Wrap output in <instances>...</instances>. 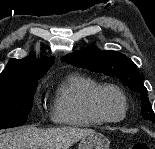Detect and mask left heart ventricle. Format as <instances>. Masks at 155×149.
I'll use <instances>...</instances> for the list:
<instances>
[{
  "instance_id": "b2bd125f",
  "label": "left heart ventricle",
  "mask_w": 155,
  "mask_h": 149,
  "mask_svg": "<svg viewBox=\"0 0 155 149\" xmlns=\"http://www.w3.org/2000/svg\"><path fill=\"white\" fill-rule=\"evenodd\" d=\"M100 104L103 111L111 118H118L123 112L122 99L112 91H105L101 94Z\"/></svg>"
}]
</instances>
